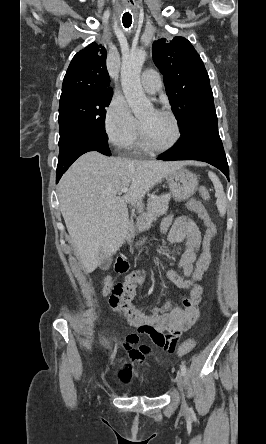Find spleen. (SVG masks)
Returning <instances> with one entry per match:
<instances>
[{"label": "spleen", "mask_w": 266, "mask_h": 444, "mask_svg": "<svg viewBox=\"0 0 266 444\" xmlns=\"http://www.w3.org/2000/svg\"><path fill=\"white\" fill-rule=\"evenodd\" d=\"M208 176L211 179V181L213 182V185L215 188V196L217 198L216 205H217L218 211L221 216H224L226 213L227 201H226V195L224 193L223 186H222L219 178L216 176V174L209 171Z\"/></svg>", "instance_id": "spleen-1"}]
</instances>
